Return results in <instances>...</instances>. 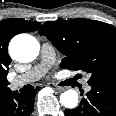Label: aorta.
Instances as JSON below:
<instances>
[{
    "mask_svg": "<svg viewBox=\"0 0 116 116\" xmlns=\"http://www.w3.org/2000/svg\"><path fill=\"white\" fill-rule=\"evenodd\" d=\"M9 51L13 59L26 63L32 61L38 55L39 43L29 34H19L10 42ZM60 100L64 107L73 109L78 105V93L69 89L61 94Z\"/></svg>",
    "mask_w": 116,
    "mask_h": 116,
    "instance_id": "762f6f07",
    "label": "aorta"
}]
</instances>
